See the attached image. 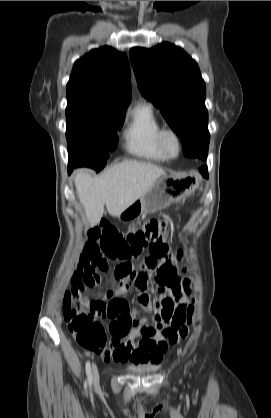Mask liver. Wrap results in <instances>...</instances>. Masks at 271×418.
I'll return each mask as SVG.
<instances>
[{"label": "liver", "mask_w": 271, "mask_h": 418, "mask_svg": "<svg viewBox=\"0 0 271 418\" xmlns=\"http://www.w3.org/2000/svg\"><path fill=\"white\" fill-rule=\"evenodd\" d=\"M163 175L166 172L162 168L136 160L118 163L99 177H92L85 168L77 170L76 192L89 225L100 222L105 205L111 216L118 217Z\"/></svg>", "instance_id": "obj_1"}]
</instances>
